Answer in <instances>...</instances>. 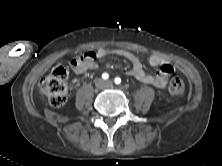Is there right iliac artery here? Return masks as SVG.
<instances>
[{
    "mask_svg": "<svg viewBox=\"0 0 222 166\" xmlns=\"http://www.w3.org/2000/svg\"><path fill=\"white\" fill-rule=\"evenodd\" d=\"M102 78H103L104 80H107V79L109 78L108 73H103V74H102Z\"/></svg>",
    "mask_w": 222,
    "mask_h": 166,
    "instance_id": "obj_1",
    "label": "right iliac artery"
}]
</instances>
